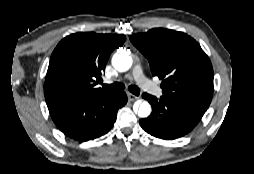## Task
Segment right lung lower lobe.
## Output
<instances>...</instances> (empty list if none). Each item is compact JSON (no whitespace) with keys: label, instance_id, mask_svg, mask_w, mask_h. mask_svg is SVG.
<instances>
[{"label":"right lung lower lobe","instance_id":"obj_1","mask_svg":"<svg viewBox=\"0 0 254 174\" xmlns=\"http://www.w3.org/2000/svg\"><path fill=\"white\" fill-rule=\"evenodd\" d=\"M127 102L124 92L119 94L70 98L49 109L56 126L68 137L87 141L107 133L117 117V111Z\"/></svg>","mask_w":254,"mask_h":174}]
</instances>
